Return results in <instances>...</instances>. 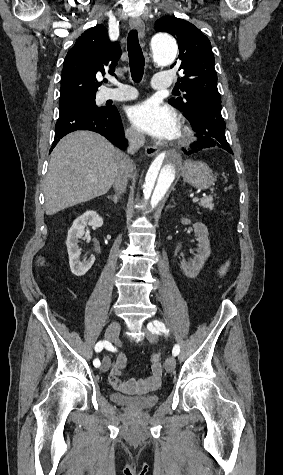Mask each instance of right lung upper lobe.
Masks as SVG:
<instances>
[{
  "label": "right lung upper lobe",
  "instance_id": "right-lung-upper-lobe-1",
  "mask_svg": "<svg viewBox=\"0 0 283 475\" xmlns=\"http://www.w3.org/2000/svg\"><path fill=\"white\" fill-rule=\"evenodd\" d=\"M121 56L118 42L112 43L107 30L96 25L86 30L69 50L63 64L61 90L94 92L101 85L96 74L114 75L115 66Z\"/></svg>",
  "mask_w": 283,
  "mask_h": 475
}]
</instances>
